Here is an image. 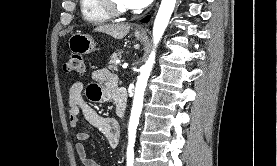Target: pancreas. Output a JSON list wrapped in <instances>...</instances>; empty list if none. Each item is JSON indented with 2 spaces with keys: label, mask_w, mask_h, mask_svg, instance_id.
I'll return each instance as SVG.
<instances>
[{
  "label": "pancreas",
  "mask_w": 277,
  "mask_h": 166,
  "mask_svg": "<svg viewBox=\"0 0 277 166\" xmlns=\"http://www.w3.org/2000/svg\"><path fill=\"white\" fill-rule=\"evenodd\" d=\"M123 54L122 50H118L117 52H114L111 57H110V61H109V69L112 71H118V68L120 66V64L116 63V59L121 58Z\"/></svg>",
  "instance_id": "1"
}]
</instances>
